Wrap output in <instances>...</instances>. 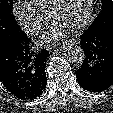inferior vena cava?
<instances>
[{
    "label": "inferior vena cava",
    "mask_w": 113,
    "mask_h": 113,
    "mask_svg": "<svg viewBox=\"0 0 113 113\" xmlns=\"http://www.w3.org/2000/svg\"><path fill=\"white\" fill-rule=\"evenodd\" d=\"M38 31H39V26H34L30 29V34L31 35L37 34Z\"/></svg>",
    "instance_id": "inferior-vena-cava-1"
}]
</instances>
